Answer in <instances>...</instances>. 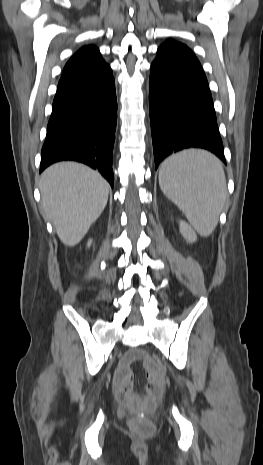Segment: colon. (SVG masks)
<instances>
[{"label": "colon", "mask_w": 263, "mask_h": 465, "mask_svg": "<svg viewBox=\"0 0 263 465\" xmlns=\"http://www.w3.org/2000/svg\"><path fill=\"white\" fill-rule=\"evenodd\" d=\"M160 393L161 385L148 384L147 396L139 397L129 403V407L135 413L130 420V425L134 430L140 433H148L152 430V424L146 415L155 410L156 399Z\"/></svg>", "instance_id": "obj_1"}]
</instances>
